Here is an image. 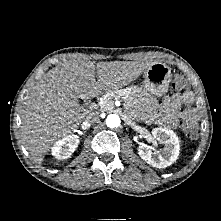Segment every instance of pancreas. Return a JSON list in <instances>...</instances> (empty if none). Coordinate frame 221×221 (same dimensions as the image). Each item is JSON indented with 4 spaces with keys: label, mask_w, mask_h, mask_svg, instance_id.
<instances>
[{
    "label": "pancreas",
    "mask_w": 221,
    "mask_h": 221,
    "mask_svg": "<svg viewBox=\"0 0 221 221\" xmlns=\"http://www.w3.org/2000/svg\"><path fill=\"white\" fill-rule=\"evenodd\" d=\"M134 92L132 89H120L109 92L103 96V100L98 103L101 111L111 110L114 107V100L122 99L124 101L125 109H129L134 104ZM146 124L151 122L146 121Z\"/></svg>",
    "instance_id": "cf45deb5"
}]
</instances>
